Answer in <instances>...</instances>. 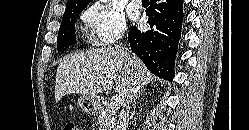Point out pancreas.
<instances>
[{
    "label": "pancreas",
    "mask_w": 249,
    "mask_h": 130,
    "mask_svg": "<svg viewBox=\"0 0 249 130\" xmlns=\"http://www.w3.org/2000/svg\"><path fill=\"white\" fill-rule=\"evenodd\" d=\"M97 125L100 126V130H115L116 116L110 106L102 109L97 119Z\"/></svg>",
    "instance_id": "obj_1"
}]
</instances>
